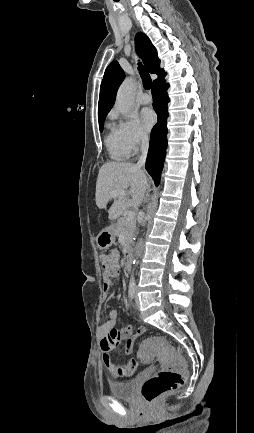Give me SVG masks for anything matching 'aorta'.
<instances>
[{"label": "aorta", "mask_w": 254, "mask_h": 433, "mask_svg": "<svg viewBox=\"0 0 254 433\" xmlns=\"http://www.w3.org/2000/svg\"><path fill=\"white\" fill-rule=\"evenodd\" d=\"M133 103L134 83L131 79H126L118 89L116 96V106L120 112L127 114L130 111Z\"/></svg>", "instance_id": "obj_1"}]
</instances>
